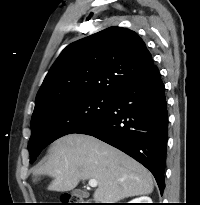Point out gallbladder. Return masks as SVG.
I'll use <instances>...</instances> for the list:
<instances>
[{"mask_svg": "<svg viewBox=\"0 0 200 205\" xmlns=\"http://www.w3.org/2000/svg\"><path fill=\"white\" fill-rule=\"evenodd\" d=\"M72 194H73L74 196H77V197L87 196V193H86V192L81 191V190H79V189L74 190V191L72 192Z\"/></svg>", "mask_w": 200, "mask_h": 205, "instance_id": "bac80fb5", "label": "gallbladder"}]
</instances>
